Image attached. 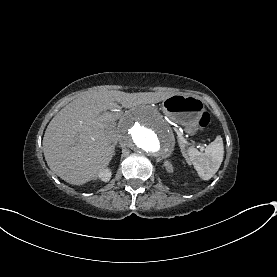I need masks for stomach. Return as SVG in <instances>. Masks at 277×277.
<instances>
[{
  "label": "stomach",
  "mask_w": 277,
  "mask_h": 277,
  "mask_svg": "<svg viewBox=\"0 0 277 277\" xmlns=\"http://www.w3.org/2000/svg\"><path fill=\"white\" fill-rule=\"evenodd\" d=\"M162 111L185 132L194 135L204 112V103L197 97L175 94L162 102Z\"/></svg>",
  "instance_id": "1"
}]
</instances>
